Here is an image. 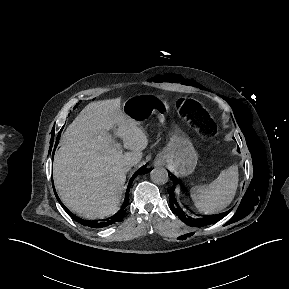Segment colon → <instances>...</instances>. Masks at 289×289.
Segmentation results:
<instances>
[{"instance_id":"colon-1","label":"colon","mask_w":289,"mask_h":289,"mask_svg":"<svg viewBox=\"0 0 289 289\" xmlns=\"http://www.w3.org/2000/svg\"><path fill=\"white\" fill-rule=\"evenodd\" d=\"M178 108L189 121L198 125L206 135H213L215 133L210 125L208 114L200 103L191 99L180 98L178 100Z\"/></svg>"}]
</instances>
